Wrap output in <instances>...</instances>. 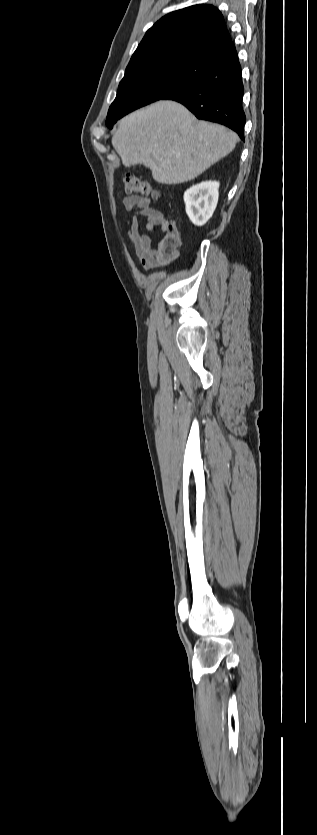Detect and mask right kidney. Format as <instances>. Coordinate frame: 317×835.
<instances>
[{"label": "right kidney", "instance_id": "1", "mask_svg": "<svg viewBox=\"0 0 317 835\" xmlns=\"http://www.w3.org/2000/svg\"><path fill=\"white\" fill-rule=\"evenodd\" d=\"M219 182L204 181L184 193L186 213L196 226L204 225L213 215L219 197Z\"/></svg>", "mask_w": 317, "mask_h": 835}]
</instances>
